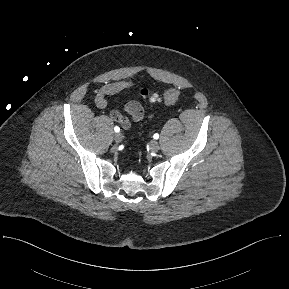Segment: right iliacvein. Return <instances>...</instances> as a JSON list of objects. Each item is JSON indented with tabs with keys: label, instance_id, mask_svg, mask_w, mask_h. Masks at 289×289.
I'll use <instances>...</instances> for the list:
<instances>
[{
	"label": "right iliac vein",
	"instance_id": "63e3f726",
	"mask_svg": "<svg viewBox=\"0 0 289 289\" xmlns=\"http://www.w3.org/2000/svg\"><path fill=\"white\" fill-rule=\"evenodd\" d=\"M122 139H123V136H122L121 133H116L114 135V140H115L116 143H120L122 141Z\"/></svg>",
	"mask_w": 289,
	"mask_h": 289
}]
</instances>
